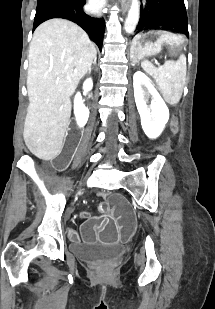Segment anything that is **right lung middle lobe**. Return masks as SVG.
I'll use <instances>...</instances> for the list:
<instances>
[{"instance_id":"dd1d6c3e","label":"right lung middle lobe","mask_w":215,"mask_h":309,"mask_svg":"<svg viewBox=\"0 0 215 309\" xmlns=\"http://www.w3.org/2000/svg\"><path fill=\"white\" fill-rule=\"evenodd\" d=\"M49 3H61L76 6L84 4L85 2L84 0H37V9Z\"/></svg>"}]
</instances>
